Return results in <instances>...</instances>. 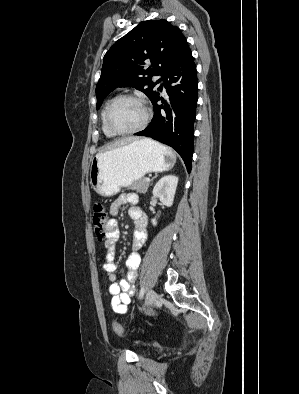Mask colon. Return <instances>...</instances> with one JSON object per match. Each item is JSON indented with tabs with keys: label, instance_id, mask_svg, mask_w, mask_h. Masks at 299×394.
<instances>
[{
	"label": "colon",
	"instance_id": "5ec220e1",
	"mask_svg": "<svg viewBox=\"0 0 299 394\" xmlns=\"http://www.w3.org/2000/svg\"><path fill=\"white\" fill-rule=\"evenodd\" d=\"M108 221L107 208L104 203L96 202L93 207L92 224L96 238L104 240L107 235L106 224ZM113 329L119 336L124 335V330L118 322L113 323Z\"/></svg>",
	"mask_w": 299,
	"mask_h": 394
}]
</instances>
